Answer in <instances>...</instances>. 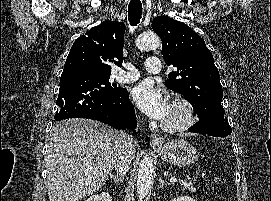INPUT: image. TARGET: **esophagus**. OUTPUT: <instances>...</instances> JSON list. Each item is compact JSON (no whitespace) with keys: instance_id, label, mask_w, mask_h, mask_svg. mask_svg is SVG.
Wrapping results in <instances>:
<instances>
[{"instance_id":"esophagus-1","label":"esophagus","mask_w":271,"mask_h":201,"mask_svg":"<svg viewBox=\"0 0 271 201\" xmlns=\"http://www.w3.org/2000/svg\"><path fill=\"white\" fill-rule=\"evenodd\" d=\"M150 144L152 146H161L163 144V140L158 134L152 133L150 135Z\"/></svg>"}]
</instances>
